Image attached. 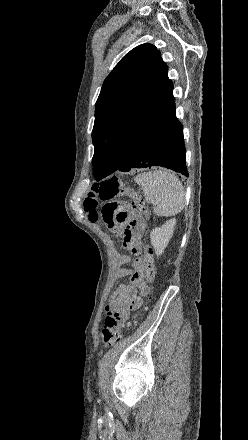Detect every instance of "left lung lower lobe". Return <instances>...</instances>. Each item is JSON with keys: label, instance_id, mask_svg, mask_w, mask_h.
Masks as SVG:
<instances>
[{"label": "left lung lower lobe", "instance_id": "0a47b994", "mask_svg": "<svg viewBox=\"0 0 248 440\" xmlns=\"http://www.w3.org/2000/svg\"><path fill=\"white\" fill-rule=\"evenodd\" d=\"M162 166L188 177L183 127L175 111L159 126L137 141L117 170Z\"/></svg>", "mask_w": 248, "mask_h": 440}]
</instances>
